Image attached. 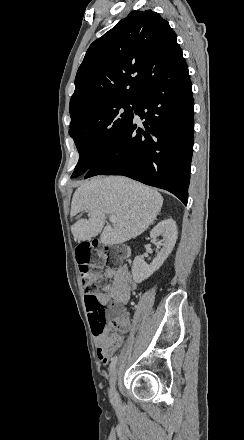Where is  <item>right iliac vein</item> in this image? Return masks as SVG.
I'll list each match as a JSON object with an SVG mask.
<instances>
[{
	"label": "right iliac vein",
	"mask_w": 244,
	"mask_h": 440,
	"mask_svg": "<svg viewBox=\"0 0 244 440\" xmlns=\"http://www.w3.org/2000/svg\"><path fill=\"white\" fill-rule=\"evenodd\" d=\"M116 368H114L111 372V377H110V386H111V393L112 396L115 400L116 403H118L117 401V391H116Z\"/></svg>",
	"instance_id": "obj_1"
}]
</instances>
